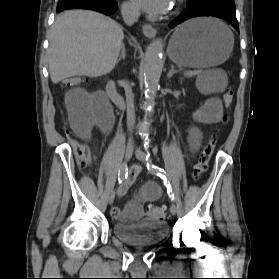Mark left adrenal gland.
Here are the masks:
<instances>
[{"label":"left adrenal gland","mask_w":279,"mask_h":279,"mask_svg":"<svg viewBox=\"0 0 279 279\" xmlns=\"http://www.w3.org/2000/svg\"><path fill=\"white\" fill-rule=\"evenodd\" d=\"M176 73H177V71L174 69V65H171V69H170V71H169L168 74H167V78H168V79L172 78V76H173L174 74H176Z\"/></svg>","instance_id":"1"}]
</instances>
